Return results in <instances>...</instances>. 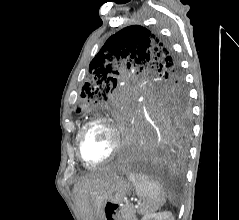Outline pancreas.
<instances>
[{"mask_svg":"<svg viewBox=\"0 0 239 220\" xmlns=\"http://www.w3.org/2000/svg\"><path fill=\"white\" fill-rule=\"evenodd\" d=\"M120 213L123 220H137L136 210L130 205L123 206Z\"/></svg>","mask_w":239,"mask_h":220,"instance_id":"1","label":"pancreas"}]
</instances>
